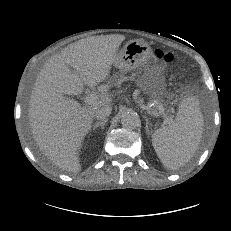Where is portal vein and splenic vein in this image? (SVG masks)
Wrapping results in <instances>:
<instances>
[{
    "label": "portal vein and splenic vein",
    "instance_id": "obj_1",
    "mask_svg": "<svg viewBox=\"0 0 231 231\" xmlns=\"http://www.w3.org/2000/svg\"><path fill=\"white\" fill-rule=\"evenodd\" d=\"M97 100H98V95L95 93H91L85 97L84 102L85 104H92L96 102ZM160 114L163 117H165V119L167 120V115L164 113L163 109H160Z\"/></svg>",
    "mask_w": 231,
    "mask_h": 231
}]
</instances>
